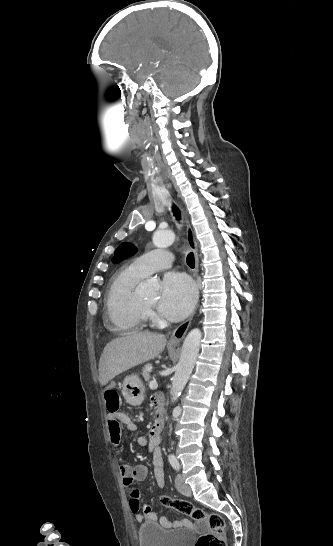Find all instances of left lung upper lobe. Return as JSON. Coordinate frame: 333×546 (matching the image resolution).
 I'll return each mask as SVG.
<instances>
[{
    "label": "left lung upper lobe",
    "mask_w": 333,
    "mask_h": 546,
    "mask_svg": "<svg viewBox=\"0 0 333 546\" xmlns=\"http://www.w3.org/2000/svg\"><path fill=\"white\" fill-rule=\"evenodd\" d=\"M136 251V248H134L131 243L124 242L115 250L113 261L116 263L120 262L123 259L134 255Z\"/></svg>",
    "instance_id": "obj_1"
}]
</instances>
